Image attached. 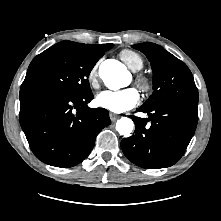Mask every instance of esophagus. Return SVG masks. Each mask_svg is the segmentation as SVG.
<instances>
[{"mask_svg":"<svg viewBox=\"0 0 221 221\" xmlns=\"http://www.w3.org/2000/svg\"><path fill=\"white\" fill-rule=\"evenodd\" d=\"M109 117L111 121H116L120 116L116 113H110Z\"/></svg>","mask_w":221,"mask_h":221,"instance_id":"obj_1","label":"esophagus"}]
</instances>
